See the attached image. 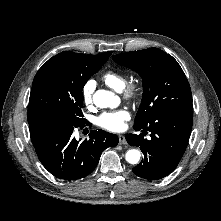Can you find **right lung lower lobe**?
I'll use <instances>...</instances> for the list:
<instances>
[{
    "mask_svg": "<svg viewBox=\"0 0 221 221\" xmlns=\"http://www.w3.org/2000/svg\"><path fill=\"white\" fill-rule=\"evenodd\" d=\"M30 136L42 165L55 177L77 180L91 174L101 153L118 144V136L103 130H93L89 139L77 140L73 131L84 124L72 126L52 119L29 124Z\"/></svg>",
    "mask_w": 221,
    "mask_h": 221,
    "instance_id": "right-lung-lower-lobe-1",
    "label": "right lung lower lobe"
}]
</instances>
